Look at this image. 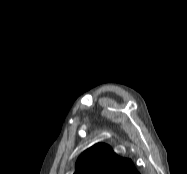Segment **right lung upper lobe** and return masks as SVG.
I'll return each instance as SVG.
<instances>
[{"instance_id":"obj_1","label":"right lung upper lobe","mask_w":187,"mask_h":174,"mask_svg":"<svg viewBox=\"0 0 187 174\" xmlns=\"http://www.w3.org/2000/svg\"><path fill=\"white\" fill-rule=\"evenodd\" d=\"M74 174H139L130 159L116 155L110 146L96 144L77 160Z\"/></svg>"}]
</instances>
